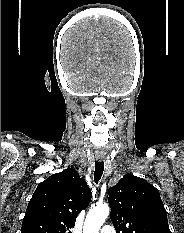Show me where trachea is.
I'll return each instance as SVG.
<instances>
[{
    "label": "trachea",
    "mask_w": 184,
    "mask_h": 233,
    "mask_svg": "<svg viewBox=\"0 0 184 233\" xmlns=\"http://www.w3.org/2000/svg\"><path fill=\"white\" fill-rule=\"evenodd\" d=\"M104 171V162L96 161L95 162V171H94V181L97 183L101 179V176Z\"/></svg>",
    "instance_id": "trachea-1"
}]
</instances>
